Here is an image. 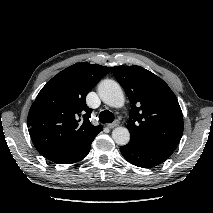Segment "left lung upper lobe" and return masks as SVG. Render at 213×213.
Listing matches in <instances>:
<instances>
[{
  "label": "left lung upper lobe",
  "mask_w": 213,
  "mask_h": 213,
  "mask_svg": "<svg viewBox=\"0 0 213 213\" xmlns=\"http://www.w3.org/2000/svg\"><path fill=\"white\" fill-rule=\"evenodd\" d=\"M111 70L132 104L127 121L131 140L171 155L183 134V116L175 94L143 67L116 66Z\"/></svg>",
  "instance_id": "5c2ea615"
}]
</instances>
